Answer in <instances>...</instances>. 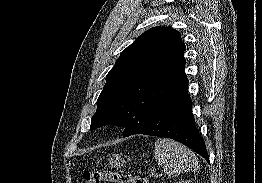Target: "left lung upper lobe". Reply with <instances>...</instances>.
<instances>
[{"instance_id": "left-lung-upper-lobe-1", "label": "left lung upper lobe", "mask_w": 262, "mask_h": 183, "mask_svg": "<svg viewBox=\"0 0 262 183\" xmlns=\"http://www.w3.org/2000/svg\"><path fill=\"white\" fill-rule=\"evenodd\" d=\"M184 51L175 29L154 27L139 36L107 74L90 130L119 125L127 137L143 129L186 79Z\"/></svg>"}]
</instances>
